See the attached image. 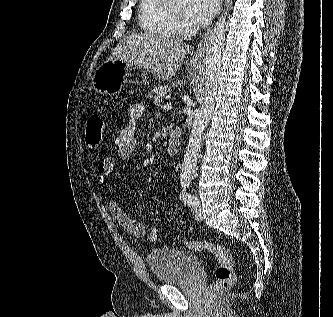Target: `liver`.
Returning a JSON list of instances; mask_svg holds the SVG:
<instances>
[{"label": "liver", "instance_id": "obj_1", "mask_svg": "<svg viewBox=\"0 0 333 317\" xmlns=\"http://www.w3.org/2000/svg\"><path fill=\"white\" fill-rule=\"evenodd\" d=\"M189 52L190 46L180 39L132 33L117 44L109 60L137 64L157 78L169 80Z\"/></svg>", "mask_w": 333, "mask_h": 317}]
</instances>
